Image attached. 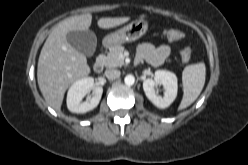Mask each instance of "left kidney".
<instances>
[{"label": "left kidney", "instance_id": "left-kidney-1", "mask_svg": "<svg viewBox=\"0 0 248 165\" xmlns=\"http://www.w3.org/2000/svg\"><path fill=\"white\" fill-rule=\"evenodd\" d=\"M160 84L164 88V95L160 96L155 90V87ZM143 90L146 97L160 109L167 108L175 100L177 96L178 84L177 77L174 73L157 70L154 79H146L143 82Z\"/></svg>", "mask_w": 248, "mask_h": 165}]
</instances>
